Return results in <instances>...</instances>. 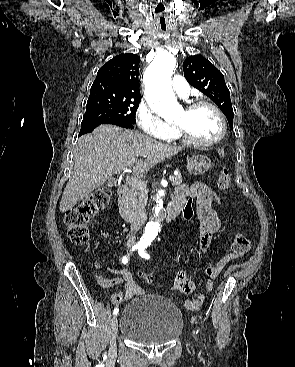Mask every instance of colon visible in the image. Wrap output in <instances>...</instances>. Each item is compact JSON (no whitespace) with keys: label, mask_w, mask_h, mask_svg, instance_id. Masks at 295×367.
Here are the masks:
<instances>
[{"label":"colon","mask_w":295,"mask_h":367,"mask_svg":"<svg viewBox=\"0 0 295 367\" xmlns=\"http://www.w3.org/2000/svg\"><path fill=\"white\" fill-rule=\"evenodd\" d=\"M217 186L220 190H228L231 187V178L227 169L220 171L217 177ZM111 191L107 188H99L89 194L79 205L70 209L65 214V224L67 226V234L70 241L78 246L83 247L89 239V224L95 215L102 210L110 201ZM187 202L182 206L183 219L190 221L196 211L194 205L195 196L188 195ZM223 195L217 193L214 196V204L217 206L224 205ZM174 233V230L170 231ZM251 243L248 237L243 233L236 234L231 252L224 256L218 263L217 267L223 269L231 261L242 258L250 249ZM140 277L146 283H150L153 276L149 272H141Z\"/></svg>","instance_id":"1"}]
</instances>
